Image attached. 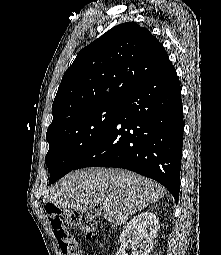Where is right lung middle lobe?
I'll return each instance as SVG.
<instances>
[{"mask_svg": "<svg viewBox=\"0 0 221 255\" xmlns=\"http://www.w3.org/2000/svg\"><path fill=\"white\" fill-rule=\"evenodd\" d=\"M120 103H104L79 110L49 128L46 166L49 184L73 170L114 119Z\"/></svg>", "mask_w": 221, "mask_h": 255, "instance_id": "right-lung-middle-lobe-1", "label": "right lung middle lobe"}]
</instances>
